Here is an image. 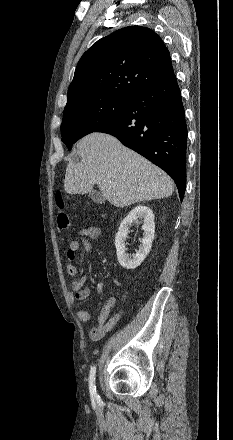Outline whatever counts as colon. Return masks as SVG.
Listing matches in <instances>:
<instances>
[{
	"label": "colon",
	"instance_id": "5ec220e1",
	"mask_svg": "<svg viewBox=\"0 0 233 440\" xmlns=\"http://www.w3.org/2000/svg\"><path fill=\"white\" fill-rule=\"evenodd\" d=\"M56 224L59 229H67L70 226V219L65 210V202L61 192L56 194Z\"/></svg>",
	"mask_w": 233,
	"mask_h": 440
}]
</instances>
